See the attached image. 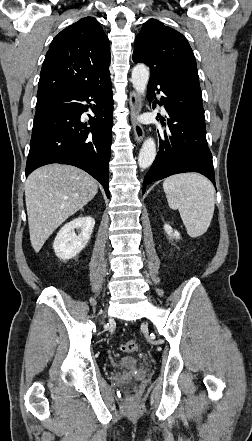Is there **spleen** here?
Segmentation results:
<instances>
[{
	"instance_id": "3e777b00",
	"label": "spleen",
	"mask_w": 252,
	"mask_h": 441,
	"mask_svg": "<svg viewBox=\"0 0 252 441\" xmlns=\"http://www.w3.org/2000/svg\"><path fill=\"white\" fill-rule=\"evenodd\" d=\"M168 205L178 210L191 238L203 235L211 223L215 207L213 184L198 173H183L164 180Z\"/></svg>"
}]
</instances>
